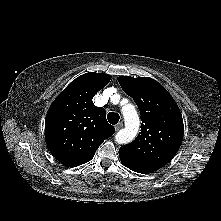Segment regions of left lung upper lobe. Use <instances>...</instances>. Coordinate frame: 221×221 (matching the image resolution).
<instances>
[{"instance_id": "left-lung-upper-lobe-1", "label": "left lung upper lobe", "mask_w": 221, "mask_h": 221, "mask_svg": "<svg viewBox=\"0 0 221 221\" xmlns=\"http://www.w3.org/2000/svg\"><path fill=\"white\" fill-rule=\"evenodd\" d=\"M141 114V132L119 149V156L141 168L156 171L177 153L184 134L182 115L167 90L149 77L117 78Z\"/></svg>"}]
</instances>
